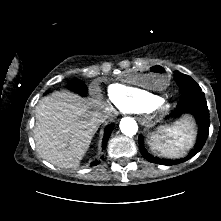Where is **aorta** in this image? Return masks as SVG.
I'll return each instance as SVG.
<instances>
[{"label": "aorta", "instance_id": "obj_1", "mask_svg": "<svg viewBox=\"0 0 221 221\" xmlns=\"http://www.w3.org/2000/svg\"><path fill=\"white\" fill-rule=\"evenodd\" d=\"M119 127L121 132L127 136H133L138 131V125L131 117L122 118Z\"/></svg>", "mask_w": 221, "mask_h": 221}]
</instances>
